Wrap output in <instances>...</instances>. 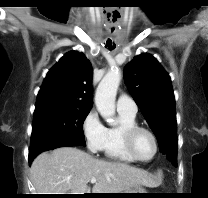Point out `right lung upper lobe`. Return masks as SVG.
I'll list each match as a JSON object with an SVG mask.
<instances>
[{
  "label": "right lung upper lobe",
  "instance_id": "1",
  "mask_svg": "<svg viewBox=\"0 0 208 198\" xmlns=\"http://www.w3.org/2000/svg\"><path fill=\"white\" fill-rule=\"evenodd\" d=\"M92 67L83 53L70 51L49 70L35 109L52 105L92 107Z\"/></svg>",
  "mask_w": 208,
  "mask_h": 198
}]
</instances>
